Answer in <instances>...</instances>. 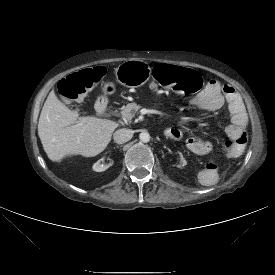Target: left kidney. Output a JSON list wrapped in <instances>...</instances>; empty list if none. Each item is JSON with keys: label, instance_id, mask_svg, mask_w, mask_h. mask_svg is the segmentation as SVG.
<instances>
[{"label": "left kidney", "instance_id": "left-kidney-1", "mask_svg": "<svg viewBox=\"0 0 275 275\" xmlns=\"http://www.w3.org/2000/svg\"><path fill=\"white\" fill-rule=\"evenodd\" d=\"M172 160L174 161V166L176 168L184 167L187 164L186 160L183 157V155L179 152H174L172 154Z\"/></svg>", "mask_w": 275, "mask_h": 275}]
</instances>
